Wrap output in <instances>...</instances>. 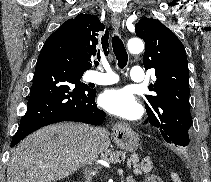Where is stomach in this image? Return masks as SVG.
I'll list each match as a JSON object with an SVG mask.
<instances>
[{"label": "stomach", "instance_id": "obj_1", "mask_svg": "<svg viewBox=\"0 0 211 182\" xmlns=\"http://www.w3.org/2000/svg\"><path fill=\"white\" fill-rule=\"evenodd\" d=\"M113 141L122 150L134 152L138 149L139 138L131 130L122 129L112 133Z\"/></svg>", "mask_w": 211, "mask_h": 182}]
</instances>
